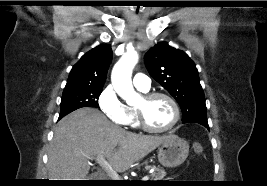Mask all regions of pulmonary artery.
<instances>
[{"label":"pulmonary artery","mask_w":267,"mask_h":186,"mask_svg":"<svg viewBox=\"0 0 267 186\" xmlns=\"http://www.w3.org/2000/svg\"><path fill=\"white\" fill-rule=\"evenodd\" d=\"M133 84L138 89L148 91L151 86V80L147 75L138 73L133 77Z\"/></svg>","instance_id":"1"}]
</instances>
